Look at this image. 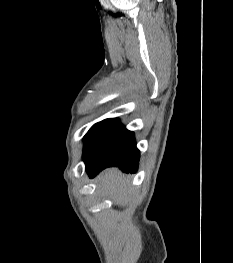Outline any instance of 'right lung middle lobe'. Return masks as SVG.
I'll list each match as a JSON object with an SVG mask.
<instances>
[{"instance_id":"right-lung-middle-lobe-1","label":"right lung middle lobe","mask_w":233,"mask_h":263,"mask_svg":"<svg viewBox=\"0 0 233 263\" xmlns=\"http://www.w3.org/2000/svg\"><path fill=\"white\" fill-rule=\"evenodd\" d=\"M97 124H98V123H97ZM97 124H95V125L88 131V133H90V132L97 126ZM88 133H87V134H88ZM87 134H86V135H87Z\"/></svg>"}]
</instances>
